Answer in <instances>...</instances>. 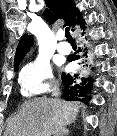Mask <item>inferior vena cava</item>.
<instances>
[{"label": "inferior vena cava", "instance_id": "1", "mask_svg": "<svg viewBox=\"0 0 117 136\" xmlns=\"http://www.w3.org/2000/svg\"><path fill=\"white\" fill-rule=\"evenodd\" d=\"M54 95L57 97L59 95V92H56Z\"/></svg>", "mask_w": 117, "mask_h": 136}]
</instances>
